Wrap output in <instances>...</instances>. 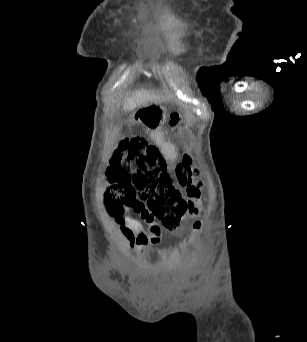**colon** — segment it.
I'll return each mask as SVG.
<instances>
[{"mask_svg": "<svg viewBox=\"0 0 307 342\" xmlns=\"http://www.w3.org/2000/svg\"><path fill=\"white\" fill-rule=\"evenodd\" d=\"M169 124L175 133L180 131V115L172 112ZM192 157L183 153L181 162L175 166L177 185L185 191L184 198L168 172L159 149L142 139L133 136L125 138L115 149L111 159V171L107 174L108 183L104 185L103 201L115 210L124 211L123 192L127 188L135 191L134 199L145 205L151 215L168 229L199 213L197 202L202 195V182L198 170L192 166ZM121 176V177H119ZM201 221L193 224L197 233ZM194 234L187 241H190ZM171 239L169 236L166 238Z\"/></svg>", "mask_w": 307, "mask_h": 342, "instance_id": "colon-1", "label": "colon"}]
</instances>
